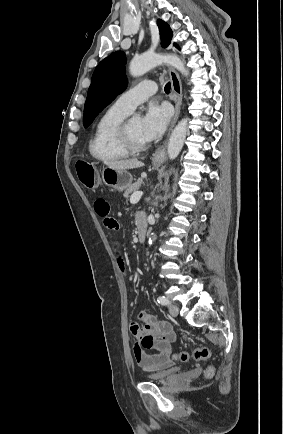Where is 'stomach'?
Segmentation results:
<instances>
[{
    "instance_id": "1",
    "label": "stomach",
    "mask_w": 283,
    "mask_h": 434,
    "mask_svg": "<svg viewBox=\"0 0 283 434\" xmlns=\"http://www.w3.org/2000/svg\"><path fill=\"white\" fill-rule=\"evenodd\" d=\"M161 160L153 159V165L159 166ZM103 182L105 185L116 189L119 192L127 190L133 181L132 175L126 170H117L109 167L104 168Z\"/></svg>"
}]
</instances>
